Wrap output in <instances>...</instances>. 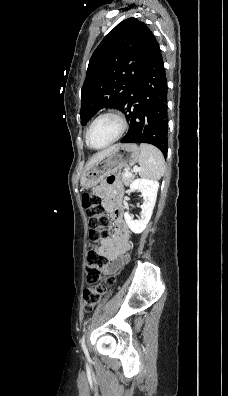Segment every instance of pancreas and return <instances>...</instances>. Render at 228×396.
<instances>
[{"instance_id": "cf45deb5", "label": "pancreas", "mask_w": 228, "mask_h": 396, "mask_svg": "<svg viewBox=\"0 0 228 396\" xmlns=\"http://www.w3.org/2000/svg\"><path fill=\"white\" fill-rule=\"evenodd\" d=\"M118 174L122 176V180L126 186H128L130 182L134 179V175L132 174L129 176L126 175V170L121 172V170L119 169Z\"/></svg>"}]
</instances>
